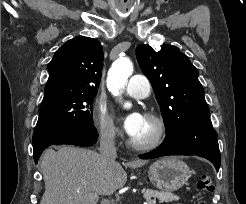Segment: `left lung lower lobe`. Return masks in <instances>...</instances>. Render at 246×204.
<instances>
[{
    "label": "left lung lower lobe",
    "instance_id": "obj_1",
    "mask_svg": "<svg viewBox=\"0 0 246 204\" xmlns=\"http://www.w3.org/2000/svg\"><path fill=\"white\" fill-rule=\"evenodd\" d=\"M165 155H197L208 159L219 170L221 156L217 133L211 120L193 121L177 126L166 134L162 145L156 150L140 155L141 159H152Z\"/></svg>",
    "mask_w": 246,
    "mask_h": 204
}]
</instances>
